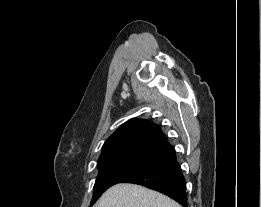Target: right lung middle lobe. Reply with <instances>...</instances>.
Returning a JSON list of instances; mask_svg holds the SVG:
<instances>
[{
	"mask_svg": "<svg viewBox=\"0 0 261 207\" xmlns=\"http://www.w3.org/2000/svg\"><path fill=\"white\" fill-rule=\"evenodd\" d=\"M159 162L149 159H122L98 165L99 173L94 185V194L91 205L111 186L123 183L129 178L138 175L156 166Z\"/></svg>",
	"mask_w": 261,
	"mask_h": 207,
	"instance_id": "dd1d6c3e",
	"label": "right lung middle lobe"
}]
</instances>
